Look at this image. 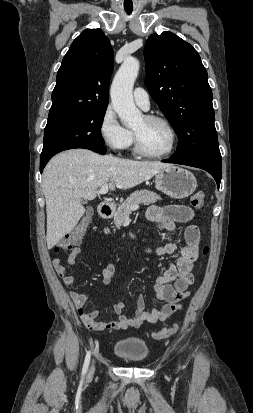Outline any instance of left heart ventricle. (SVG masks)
<instances>
[{"mask_svg":"<svg viewBox=\"0 0 253 413\" xmlns=\"http://www.w3.org/2000/svg\"><path fill=\"white\" fill-rule=\"evenodd\" d=\"M144 149L160 153L168 149L171 141L169 130L159 122H149L144 117L133 127Z\"/></svg>","mask_w":253,"mask_h":413,"instance_id":"left-heart-ventricle-1","label":"left heart ventricle"}]
</instances>
